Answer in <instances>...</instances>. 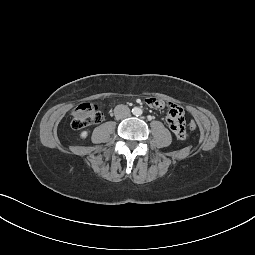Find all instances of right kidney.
Returning <instances> with one entry per match:
<instances>
[{"mask_svg":"<svg viewBox=\"0 0 255 255\" xmlns=\"http://www.w3.org/2000/svg\"><path fill=\"white\" fill-rule=\"evenodd\" d=\"M87 136H88V131H82V132L80 133V138H81V139H85Z\"/></svg>","mask_w":255,"mask_h":255,"instance_id":"ca27d5eb","label":"right kidney"}]
</instances>
